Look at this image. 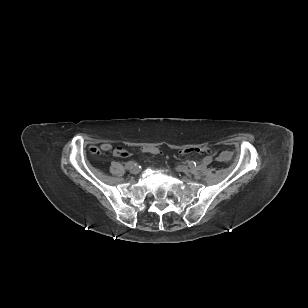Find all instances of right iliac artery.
<instances>
[{"label": "right iliac artery", "instance_id": "82829eb1", "mask_svg": "<svg viewBox=\"0 0 308 308\" xmlns=\"http://www.w3.org/2000/svg\"><path fill=\"white\" fill-rule=\"evenodd\" d=\"M135 165H136L135 162L129 161V162L126 163L125 168H126L127 170H130V169H132Z\"/></svg>", "mask_w": 308, "mask_h": 308}]
</instances>
